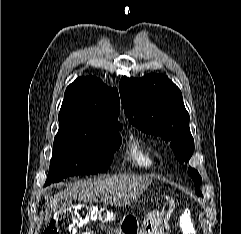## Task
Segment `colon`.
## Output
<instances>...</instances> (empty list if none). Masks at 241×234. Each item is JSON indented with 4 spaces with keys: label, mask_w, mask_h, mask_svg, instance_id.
Masks as SVG:
<instances>
[{
    "label": "colon",
    "mask_w": 241,
    "mask_h": 234,
    "mask_svg": "<svg viewBox=\"0 0 241 234\" xmlns=\"http://www.w3.org/2000/svg\"><path fill=\"white\" fill-rule=\"evenodd\" d=\"M109 214L103 210L84 204L73 205L55 214L45 234H77L78 229L91 220H107ZM182 234H197L192 214L185 211L179 219Z\"/></svg>",
    "instance_id": "1"
}]
</instances>
